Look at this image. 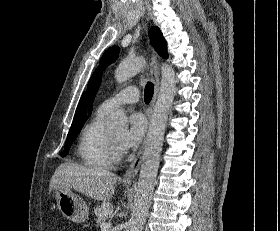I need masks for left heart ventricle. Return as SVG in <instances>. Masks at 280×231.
<instances>
[{"label": "left heart ventricle", "instance_id": "b2bd125f", "mask_svg": "<svg viewBox=\"0 0 280 231\" xmlns=\"http://www.w3.org/2000/svg\"><path fill=\"white\" fill-rule=\"evenodd\" d=\"M111 134V137L115 140V141H118L121 136L123 135V132H112L110 133Z\"/></svg>", "mask_w": 280, "mask_h": 231}]
</instances>
